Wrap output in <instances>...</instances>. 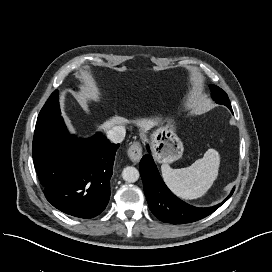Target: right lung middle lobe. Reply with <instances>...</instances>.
<instances>
[{"instance_id": "obj_1", "label": "right lung middle lobe", "mask_w": 272, "mask_h": 272, "mask_svg": "<svg viewBox=\"0 0 272 272\" xmlns=\"http://www.w3.org/2000/svg\"><path fill=\"white\" fill-rule=\"evenodd\" d=\"M59 116H61V112L58 102V91L56 90L50 95L49 99L40 111L37 122L57 118Z\"/></svg>"}]
</instances>
